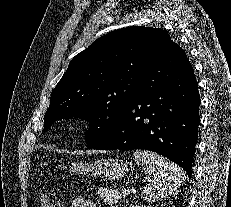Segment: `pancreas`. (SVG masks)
<instances>
[{
    "mask_svg": "<svg viewBox=\"0 0 231 207\" xmlns=\"http://www.w3.org/2000/svg\"><path fill=\"white\" fill-rule=\"evenodd\" d=\"M99 197L105 202L106 204L112 206L117 204L119 200L122 198V192L119 190H111L107 188H101L98 191Z\"/></svg>",
    "mask_w": 231,
    "mask_h": 207,
    "instance_id": "cf45deb5",
    "label": "pancreas"
}]
</instances>
